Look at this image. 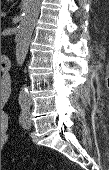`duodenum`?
Wrapping results in <instances>:
<instances>
[{"label":"duodenum","instance_id":"1","mask_svg":"<svg viewBox=\"0 0 109 170\" xmlns=\"http://www.w3.org/2000/svg\"><path fill=\"white\" fill-rule=\"evenodd\" d=\"M8 64H9V59L7 57L3 58L2 61H1V70L3 72V80H2V88L4 90L8 89L9 87V84H10V80L9 78L7 77V70H8Z\"/></svg>","mask_w":109,"mask_h":170}]
</instances>
